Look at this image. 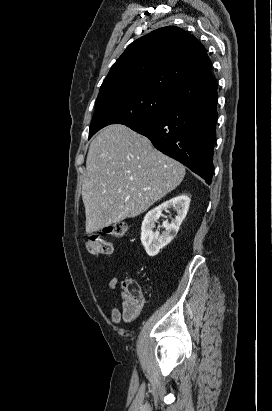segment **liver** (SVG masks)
Segmentation results:
<instances>
[{"mask_svg": "<svg viewBox=\"0 0 272 411\" xmlns=\"http://www.w3.org/2000/svg\"><path fill=\"white\" fill-rule=\"evenodd\" d=\"M86 170L82 200L87 234L140 215L185 176L180 162L121 124L105 127L92 140Z\"/></svg>", "mask_w": 272, "mask_h": 411, "instance_id": "liver-1", "label": "liver"}]
</instances>
